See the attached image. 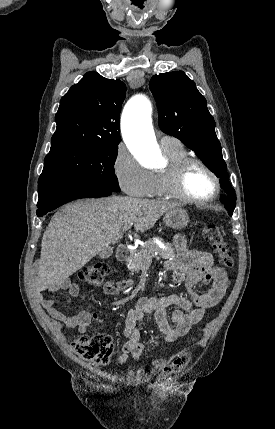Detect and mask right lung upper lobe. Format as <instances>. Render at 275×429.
<instances>
[{
    "label": "right lung upper lobe",
    "instance_id": "obj_1",
    "mask_svg": "<svg viewBox=\"0 0 275 429\" xmlns=\"http://www.w3.org/2000/svg\"><path fill=\"white\" fill-rule=\"evenodd\" d=\"M125 92L122 81L87 72L60 101L50 151L117 146L121 141L119 120Z\"/></svg>",
    "mask_w": 275,
    "mask_h": 429
}]
</instances>
